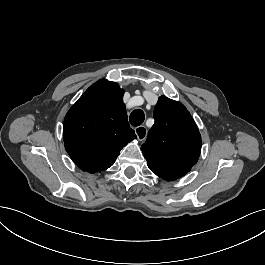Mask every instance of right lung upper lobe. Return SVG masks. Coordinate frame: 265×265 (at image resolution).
Listing matches in <instances>:
<instances>
[{
	"instance_id": "right-lung-upper-lobe-1",
	"label": "right lung upper lobe",
	"mask_w": 265,
	"mask_h": 265,
	"mask_svg": "<svg viewBox=\"0 0 265 265\" xmlns=\"http://www.w3.org/2000/svg\"><path fill=\"white\" fill-rule=\"evenodd\" d=\"M124 90L117 83L99 80L70 108L63 124L65 148L83 171L111 167L120 150L136 138L128 123Z\"/></svg>"
}]
</instances>
